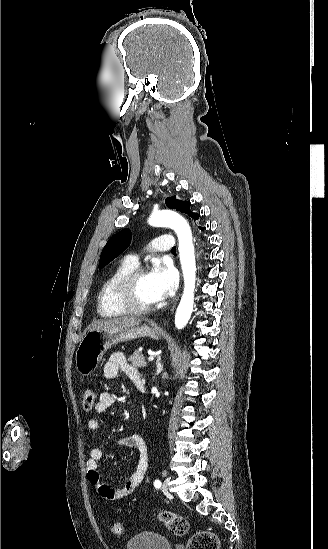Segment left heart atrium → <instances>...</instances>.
I'll use <instances>...</instances> for the list:
<instances>
[{
  "label": "left heart atrium",
  "mask_w": 328,
  "mask_h": 549,
  "mask_svg": "<svg viewBox=\"0 0 328 549\" xmlns=\"http://www.w3.org/2000/svg\"><path fill=\"white\" fill-rule=\"evenodd\" d=\"M150 283L154 298L164 300L172 296L177 288V272L170 264H160L150 272Z\"/></svg>",
  "instance_id": "1"
}]
</instances>
